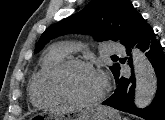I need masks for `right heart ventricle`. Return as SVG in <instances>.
<instances>
[{"mask_svg": "<svg viewBox=\"0 0 165 120\" xmlns=\"http://www.w3.org/2000/svg\"><path fill=\"white\" fill-rule=\"evenodd\" d=\"M65 60V53L59 49L48 52L33 74L29 84L31 102L37 107L54 106L61 102L50 89V77L55 68Z\"/></svg>", "mask_w": 165, "mask_h": 120, "instance_id": "1", "label": "right heart ventricle"}]
</instances>
